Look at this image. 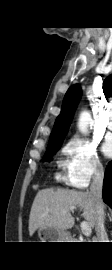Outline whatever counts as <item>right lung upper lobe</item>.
<instances>
[{"label":"right lung upper lobe","mask_w":112,"mask_h":270,"mask_svg":"<svg viewBox=\"0 0 112 270\" xmlns=\"http://www.w3.org/2000/svg\"><path fill=\"white\" fill-rule=\"evenodd\" d=\"M103 90L106 96L112 97V74L104 81ZM80 97L81 90L78 84L71 86L66 92L61 113L57 117L50 135L49 144L63 141L69 129Z\"/></svg>","instance_id":"cb5924a9"}]
</instances>
